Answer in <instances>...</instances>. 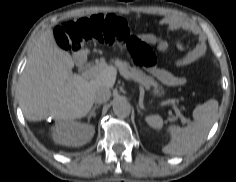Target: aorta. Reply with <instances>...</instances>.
<instances>
[{"instance_id":"obj_1","label":"aorta","mask_w":236,"mask_h":182,"mask_svg":"<svg viewBox=\"0 0 236 182\" xmlns=\"http://www.w3.org/2000/svg\"><path fill=\"white\" fill-rule=\"evenodd\" d=\"M113 111L120 118L128 117L131 113V106L125 99H118L113 104Z\"/></svg>"}]
</instances>
